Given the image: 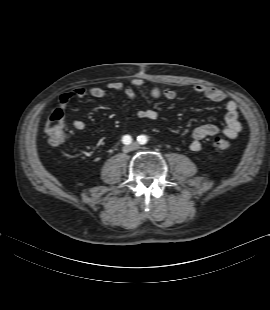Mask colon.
I'll use <instances>...</instances> for the list:
<instances>
[{"mask_svg": "<svg viewBox=\"0 0 270 310\" xmlns=\"http://www.w3.org/2000/svg\"><path fill=\"white\" fill-rule=\"evenodd\" d=\"M64 112L60 108H56L50 115L46 123V133L48 140L52 145H58L65 139V122ZM211 145L214 150L226 151L230 147L229 141L221 136L213 138Z\"/></svg>", "mask_w": 270, "mask_h": 310, "instance_id": "5ec220e1", "label": "colon"}]
</instances>
